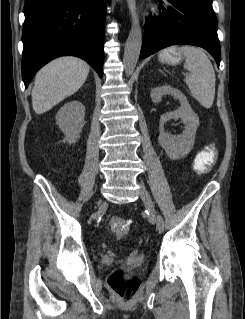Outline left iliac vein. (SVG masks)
I'll list each match as a JSON object with an SVG mask.
<instances>
[{
    "mask_svg": "<svg viewBox=\"0 0 245 319\" xmlns=\"http://www.w3.org/2000/svg\"><path fill=\"white\" fill-rule=\"evenodd\" d=\"M139 194H140V197L145 204L146 209L149 212V216H148L149 221L152 224H157L158 216H157L156 209L154 207V204H153V201H152V198H151L149 192L147 191V189L145 188V186L143 184H140Z\"/></svg>",
    "mask_w": 245,
    "mask_h": 319,
    "instance_id": "4c4485c4",
    "label": "left iliac vein"
}]
</instances>
